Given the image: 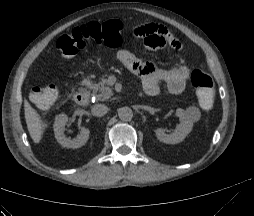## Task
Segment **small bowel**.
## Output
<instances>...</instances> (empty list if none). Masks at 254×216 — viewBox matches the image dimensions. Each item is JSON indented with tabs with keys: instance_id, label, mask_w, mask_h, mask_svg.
Masks as SVG:
<instances>
[{
	"instance_id": "small-bowel-1",
	"label": "small bowel",
	"mask_w": 254,
	"mask_h": 216,
	"mask_svg": "<svg viewBox=\"0 0 254 216\" xmlns=\"http://www.w3.org/2000/svg\"><path fill=\"white\" fill-rule=\"evenodd\" d=\"M135 35L141 37L147 47L153 51H171L179 47L178 40L173 38L169 31L158 29L152 24L139 27ZM114 60L139 74L145 92L152 96L160 93L162 82L166 84L170 94L183 93L190 75L189 67L184 59H181L176 67L159 69L149 62L141 61L126 50H119L115 53Z\"/></svg>"
}]
</instances>
